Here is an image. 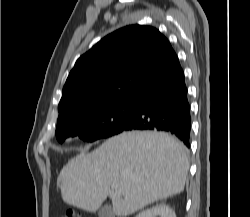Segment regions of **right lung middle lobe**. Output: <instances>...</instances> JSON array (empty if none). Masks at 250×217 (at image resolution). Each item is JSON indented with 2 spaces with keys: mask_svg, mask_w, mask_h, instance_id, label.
I'll list each match as a JSON object with an SVG mask.
<instances>
[{
  "mask_svg": "<svg viewBox=\"0 0 250 217\" xmlns=\"http://www.w3.org/2000/svg\"><path fill=\"white\" fill-rule=\"evenodd\" d=\"M134 110V99L112 101L82 110L57 123V140L62 143L68 137L78 136L92 142L116 135L131 122Z\"/></svg>",
  "mask_w": 250,
  "mask_h": 217,
  "instance_id": "1",
  "label": "right lung middle lobe"
}]
</instances>
